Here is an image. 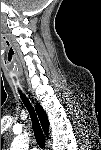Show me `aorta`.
<instances>
[{"label": "aorta", "instance_id": "obj_1", "mask_svg": "<svg viewBox=\"0 0 101 150\" xmlns=\"http://www.w3.org/2000/svg\"><path fill=\"white\" fill-rule=\"evenodd\" d=\"M29 136L27 133L18 135L14 138L12 144H11V149L12 150H27L29 147Z\"/></svg>", "mask_w": 101, "mask_h": 150}]
</instances>
